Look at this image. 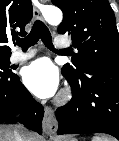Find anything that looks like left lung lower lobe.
<instances>
[{"label":"left lung lower lobe","mask_w":119,"mask_h":141,"mask_svg":"<svg viewBox=\"0 0 119 141\" xmlns=\"http://www.w3.org/2000/svg\"><path fill=\"white\" fill-rule=\"evenodd\" d=\"M64 77L73 95L56 110L57 134L107 133L119 140V70L104 68L79 78Z\"/></svg>","instance_id":"1"}]
</instances>
